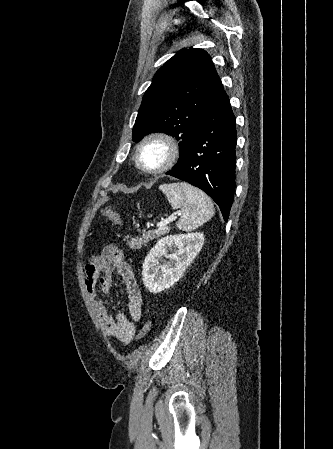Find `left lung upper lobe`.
<instances>
[{
    "instance_id": "1",
    "label": "left lung upper lobe",
    "mask_w": 333,
    "mask_h": 449,
    "mask_svg": "<svg viewBox=\"0 0 333 449\" xmlns=\"http://www.w3.org/2000/svg\"><path fill=\"white\" fill-rule=\"evenodd\" d=\"M223 91L211 57L202 49H182L154 75L143 96L133 128V141L164 132L179 141L182 165L192 138Z\"/></svg>"
}]
</instances>
